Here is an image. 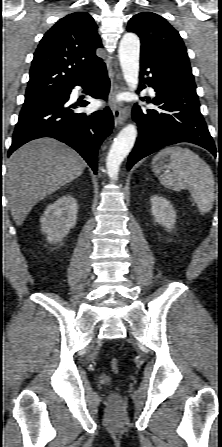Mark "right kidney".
<instances>
[{
	"mask_svg": "<svg viewBox=\"0 0 222 447\" xmlns=\"http://www.w3.org/2000/svg\"><path fill=\"white\" fill-rule=\"evenodd\" d=\"M77 201L69 195L49 204L40 218L41 231L49 243H57L74 228L77 220Z\"/></svg>",
	"mask_w": 222,
	"mask_h": 447,
	"instance_id": "ca27d5eb",
	"label": "right kidney"
}]
</instances>
